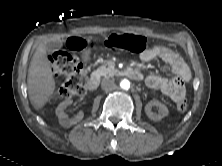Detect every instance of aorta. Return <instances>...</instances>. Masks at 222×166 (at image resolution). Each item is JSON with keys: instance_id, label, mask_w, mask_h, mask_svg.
Listing matches in <instances>:
<instances>
[{"instance_id": "aorta-1", "label": "aorta", "mask_w": 222, "mask_h": 166, "mask_svg": "<svg viewBox=\"0 0 222 166\" xmlns=\"http://www.w3.org/2000/svg\"><path fill=\"white\" fill-rule=\"evenodd\" d=\"M120 87L124 90L129 89L130 88V82L127 79H123L120 82Z\"/></svg>"}]
</instances>
